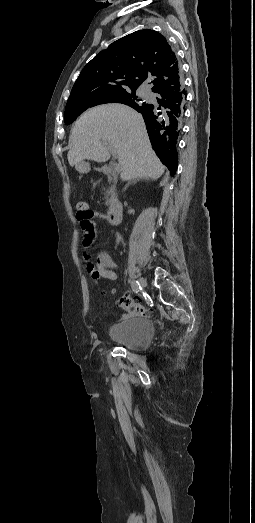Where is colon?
Returning a JSON list of instances; mask_svg holds the SVG:
<instances>
[{
    "mask_svg": "<svg viewBox=\"0 0 255 523\" xmlns=\"http://www.w3.org/2000/svg\"><path fill=\"white\" fill-rule=\"evenodd\" d=\"M76 211V217L80 223L88 222L91 219V211L89 210V206L86 202H78L76 205ZM118 305L121 308L137 315L144 316L147 314V310L141 304H139L138 301L133 300L128 296H122L119 298Z\"/></svg>",
    "mask_w": 255,
    "mask_h": 523,
    "instance_id": "5ec220e1",
    "label": "colon"
}]
</instances>
